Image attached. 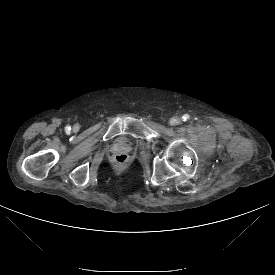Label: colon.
<instances>
[{
  "label": "colon",
  "mask_w": 275,
  "mask_h": 275,
  "mask_svg": "<svg viewBox=\"0 0 275 275\" xmlns=\"http://www.w3.org/2000/svg\"><path fill=\"white\" fill-rule=\"evenodd\" d=\"M114 161L118 165H124L128 161V157L125 154H117L114 157Z\"/></svg>",
  "instance_id": "obj_1"
}]
</instances>
